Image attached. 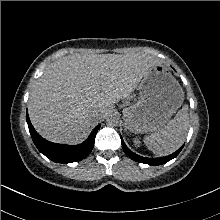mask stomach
I'll list each match as a JSON object with an SVG mask.
<instances>
[{
  "instance_id": "stomach-1",
  "label": "stomach",
  "mask_w": 220,
  "mask_h": 220,
  "mask_svg": "<svg viewBox=\"0 0 220 220\" xmlns=\"http://www.w3.org/2000/svg\"><path fill=\"white\" fill-rule=\"evenodd\" d=\"M139 90V99L127 103L123 111L126 127L136 133L163 127L184 100L180 84L162 64L150 68L142 78Z\"/></svg>"
}]
</instances>
